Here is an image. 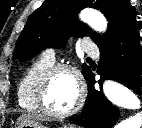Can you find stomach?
<instances>
[{
  "instance_id": "0dacf381",
  "label": "stomach",
  "mask_w": 142,
  "mask_h": 128,
  "mask_svg": "<svg viewBox=\"0 0 142 128\" xmlns=\"http://www.w3.org/2000/svg\"><path fill=\"white\" fill-rule=\"evenodd\" d=\"M15 128H46L36 119H23L17 122Z\"/></svg>"
}]
</instances>
